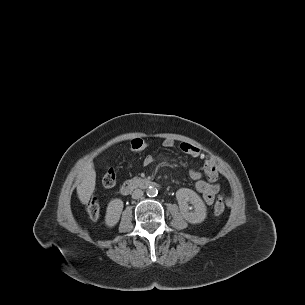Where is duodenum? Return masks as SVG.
Masks as SVG:
<instances>
[{
    "label": "duodenum",
    "instance_id": "410a0bca",
    "mask_svg": "<svg viewBox=\"0 0 305 305\" xmlns=\"http://www.w3.org/2000/svg\"><path fill=\"white\" fill-rule=\"evenodd\" d=\"M159 183L149 179H130L124 182L120 188V191L123 195L130 194L133 190L137 188H150V187H157Z\"/></svg>",
    "mask_w": 305,
    "mask_h": 305
}]
</instances>
